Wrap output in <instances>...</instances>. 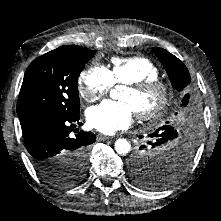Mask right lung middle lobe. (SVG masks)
I'll return each instance as SVG.
<instances>
[{"label":"right lung middle lobe","instance_id":"right-lung-middle-lobe-1","mask_svg":"<svg viewBox=\"0 0 221 221\" xmlns=\"http://www.w3.org/2000/svg\"><path fill=\"white\" fill-rule=\"evenodd\" d=\"M95 54L82 48H57L38 58L28 67L17 103L18 117L38 110L72 115L80 112L78 77ZM90 146L64 155L62 162L40 175L50 184L65 188L85 176Z\"/></svg>","mask_w":221,"mask_h":221}]
</instances>
